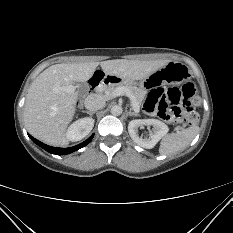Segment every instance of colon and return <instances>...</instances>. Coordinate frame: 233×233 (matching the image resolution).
Masks as SVG:
<instances>
[{"instance_id":"colon-1","label":"colon","mask_w":233,"mask_h":233,"mask_svg":"<svg viewBox=\"0 0 233 233\" xmlns=\"http://www.w3.org/2000/svg\"><path fill=\"white\" fill-rule=\"evenodd\" d=\"M198 97L193 84L187 83L181 88L152 89L145 100L144 109L168 122H185L193 126L199 122V115L194 111Z\"/></svg>"}]
</instances>
